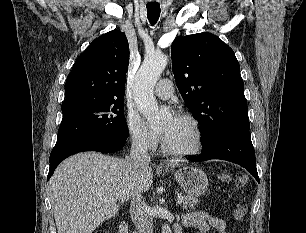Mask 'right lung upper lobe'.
I'll return each mask as SVG.
<instances>
[{"label":"right lung upper lobe","instance_id":"right-lung-upper-lobe-1","mask_svg":"<svg viewBox=\"0 0 306 233\" xmlns=\"http://www.w3.org/2000/svg\"><path fill=\"white\" fill-rule=\"evenodd\" d=\"M129 45L113 30L93 40L76 60L65 84L64 102L80 99H121L125 94Z\"/></svg>","mask_w":306,"mask_h":233}]
</instances>
